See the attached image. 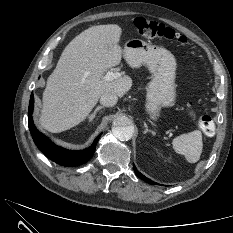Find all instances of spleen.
<instances>
[{
	"instance_id": "3e777b00",
	"label": "spleen",
	"mask_w": 233,
	"mask_h": 233,
	"mask_svg": "<svg viewBox=\"0 0 233 233\" xmlns=\"http://www.w3.org/2000/svg\"><path fill=\"white\" fill-rule=\"evenodd\" d=\"M176 153L184 155L189 163H196L201 156L203 143L199 130L177 136L172 141Z\"/></svg>"
}]
</instances>
